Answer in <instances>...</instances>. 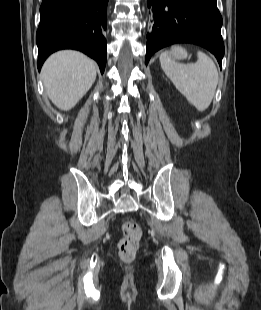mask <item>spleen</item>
Listing matches in <instances>:
<instances>
[{"label":"spleen","mask_w":261,"mask_h":310,"mask_svg":"<svg viewBox=\"0 0 261 310\" xmlns=\"http://www.w3.org/2000/svg\"><path fill=\"white\" fill-rule=\"evenodd\" d=\"M195 63L181 64L173 61L170 52L160 55V63L176 89L198 111H205L211 104L218 83V71L212 59L197 53Z\"/></svg>","instance_id":"obj_1"}]
</instances>
